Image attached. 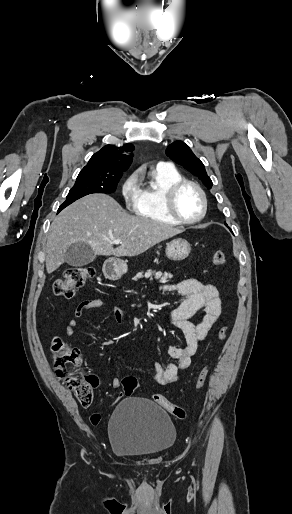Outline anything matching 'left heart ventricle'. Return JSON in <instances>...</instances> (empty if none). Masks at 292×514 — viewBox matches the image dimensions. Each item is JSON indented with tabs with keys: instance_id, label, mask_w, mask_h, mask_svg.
I'll return each mask as SVG.
<instances>
[{
	"instance_id": "1",
	"label": "left heart ventricle",
	"mask_w": 292,
	"mask_h": 514,
	"mask_svg": "<svg viewBox=\"0 0 292 514\" xmlns=\"http://www.w3.org/2000/svg\"><path fill=\"white\" fill-rule=\"evenodd\" d=\"M175 209L179 216L185 220L196 218L201 210L200 197L192 187L182 188L176 195Z\"/></svg>"
}]
</instances>
